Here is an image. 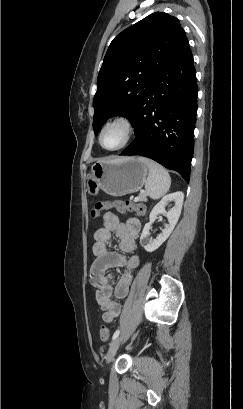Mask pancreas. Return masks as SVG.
I'll use <instances>...</instances> for the list:
<instances>
[{
  "instance_id": "obj_1",
  "label": "pancreas",
  "mask_w": 243,
  "mask_h": 409,
  "mask_svg": "<svg viewBox=\"0 0 243 409\" xmlns=\"http://www.w3.org/2000/svg\"><path fill=\"white\" fill-rule=\"evenodd\" d=\"M139 200H141V201H146V200H147V196H146V194H145V193L140 194V196H139Z\"/></svg>"
}]
</instances>
